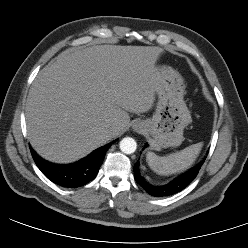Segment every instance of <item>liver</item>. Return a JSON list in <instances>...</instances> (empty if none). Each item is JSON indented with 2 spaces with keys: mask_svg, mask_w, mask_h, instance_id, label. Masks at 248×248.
<instances>
[{
  "mask_svg": "<svg viewBox=\"0 0 248 248\" xmlns=\"http://www.w3.org/2000/svg\"><path fill=\"white\" fill-rule=\"evenodd\" d=\"M151 46L67 49L37 75L26 103L28 139L43 158L70 163L124 133L145 113L159 83ZM112 128L111 135L106 130Z\"/></svg>",
  "mask_w": 248,
  "mask_h": 248,
  "instance_id": "obj_1",
  "label": "liver"
}]
</instances>
